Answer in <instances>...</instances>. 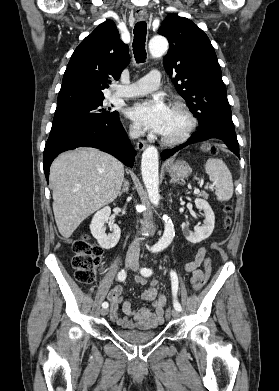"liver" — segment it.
<instances>
[{"label": "liver", "instance_id": "1", "mask_svg": "<svg viewBox=\"0 0 279 391\" xmlns=\"http://www.w3.org/2000/svg\"><path fill=\"white\" fill-rule=\"evenodd\" d=\"M124 165L105 152L84 147L58 156L50 168L53 212L60 234L69 238L88 216L114 201Z\"/></svg>", "mask_w": 279, "mask_h": 391}]
</instances>
